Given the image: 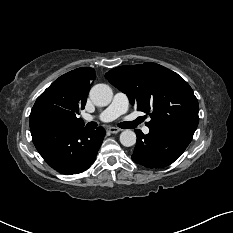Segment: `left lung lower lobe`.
<instances>
[{"mask_svg":"<svg viewBox=\"0 0 233 233\" xmlns=\"http://www.w3.org/2000/svg\"><path fill=\"white\" fill-rule=\"evenodd\" d=\"M137 142L131 156L147 168H161L173 163L187 148L193 134L171 129H150L147 135L136 130Z\"/></svg>","mask_w":233,"mask_h":233,"instance_id":"1","label":"left lung lower lobe"}]
</instances>
